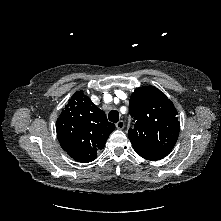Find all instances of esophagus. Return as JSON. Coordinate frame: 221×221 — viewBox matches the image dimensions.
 Wrapping results in <instances>:
<instances>
[{"label":"esophagus","mask_w":221,"mask_h":221,"mask_svg":"<svg viewBox=\"0 0 221 221\" xmlns=\"http://www.w3.org/2000/svg\"><path fill=\"white\" fill-rule=\"evenodd\" d=\"M116 128L120 129V130L123 129L124 128V122L122 120L118 121L116 123Z\"/></svg>","instance_id":"1"}]
</instances>
